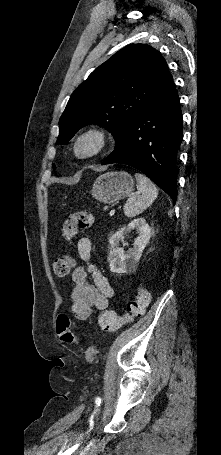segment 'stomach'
I'll list each match as a JSON object with an SVG mask.
<instances>
[{"label": "stomach", "mask_w": 221, "mask_h": 455, "mask_svg": "<svg viewBox=\"0 0 221 455\" xmlns=\"http://www.w3.org/2000/svg\"><path fill=\"white\" fill-rule=\"evenodd\" d=\"M134 180L124 171L107 172L93 183L92 196L105 204H114L127 197L133 190Z\"/></svg>", "instance_id": "0dacf381"}]
</instances>
